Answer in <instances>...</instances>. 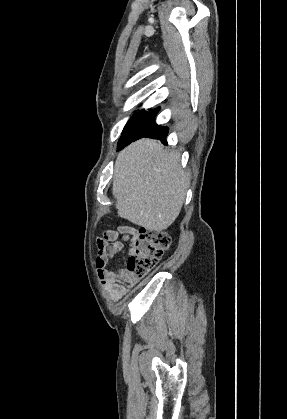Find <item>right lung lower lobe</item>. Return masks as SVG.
I'll use <instances>...</instances> for the list:
<instances>
[{
  "mask_svg": "<svg viewBox=\"0 0 287 419\" xmlns=\"http://www.w3.org/2000/svg\"><path fill=\"white\" fill-rule=\"evenodd\" d=\"M167 135H168V128L161 127V126L154 123L148 130H146L144 133H142L141 135H139L138 137H136L132 141H135V140H137L139 138H142V137H148V138L159 139V140H161L162 143L167 144V142H166Z\"/></svg>",
  "mask_w": 287,
  "mask_h": 419,
  "instance_id": "obj_1",
  "label": "right lung lower lobe"
}]
</instances>
